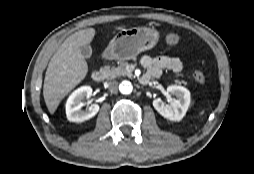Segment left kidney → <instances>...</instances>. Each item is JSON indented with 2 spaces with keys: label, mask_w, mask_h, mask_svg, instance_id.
<instances>
[{
  "label": "left kidney",
  "mask_w": 254,
  "mask_h": 174,
  "mask_svg": "<svg viewBox=\"0 0 254 174\" xmlns=\"http://www.w3.org/2000/svg\"><path fill=\"white\" fill-rule=\"evenodd\" d=\"M170 95L176 96L170 104H165L161 99H154L153 106L164 118L171 121H180L186 114L190 105V92L183 86L171 85L167 87Z\"/></svg>",
  "instance_id": "5707ae66"
}]
</instances>
